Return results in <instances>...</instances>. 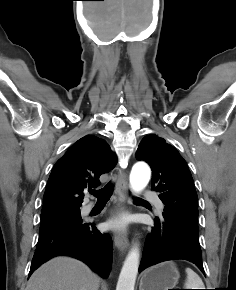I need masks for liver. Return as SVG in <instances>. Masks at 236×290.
I'll return each instance as SVG.
<instances>
[{
    "label": "liver",
    "mask_w": 236,
    "mask_h": 290,
    "mask_svg": "<svg viewBox=\"0 0 236 290\" xmlns=\"http://www.w3.org/2000/svg\"><path fill=\"white\" fill-rule=\"evenodd\" d=\"M100 278L79 260L59 256L39 267L26 290H98Z\"/></svg>",
    "instance_id": "liver-1"
}]
</instances>
